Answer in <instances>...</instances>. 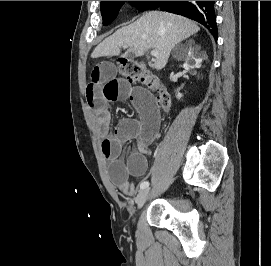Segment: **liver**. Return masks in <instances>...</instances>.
Returning <instances> with one entry per match:
<instances>
[{"label":"liver","mask_w":271,"mask_h":266,"mask_svg":"<svg viewBox=\"0 0 271 266\" xmlns=\"http://www.w3.org/2000/svg\"><path fill=\"white\" fill-rule=\"evenodd\" d=\"M200 30L193 21L176 14L149 11L129 26L117 30L113 35L100 43L92 58L117 56L121 47L128 46L135 55H144L147 49L158 52L154 66L163 69L170 52L179 42L189 38Z\"/></svg>","instance_id":"1"}]
</instances>
